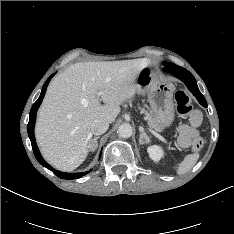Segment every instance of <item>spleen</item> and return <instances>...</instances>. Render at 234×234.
<instances>
[{
	"label": "spleen",
	"mask_w": 234,
	"mask_h": 234,
	"mask_svg": "<svg viewBox=\"0 0 234 234\" xmlns=\"http://www.w3.org/2000/svg\"><path fill=\"white\" fill-rule=\"evenodd\" d=\"M199 158V154H188L185 156L184 160L179 164L177 169V174H184L196 164Z\"/></svg>",
	"instance_id": "1"
}]
</instances>
